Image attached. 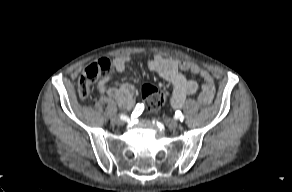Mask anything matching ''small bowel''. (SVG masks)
<instances>
[{
    "instance_id": "small-bowel-1",
    "label": "small bowel",
    "mask_w": 292,
    "mask_h": 192,
    "mask_svg": "<svg viewBox=\"0 0 292 192\" xmlns=\"http://www.w3.org/2000/svg\"><path fill=\"white\" fill-rule=\"evenodd\" d=\"M130 60L131 58L128 56L115 58L113 61V70L119 73L124 72ZM146 65L150 71L156 72L161 78L171 84L172 91L170 101L174 107H181L186 98L194 94L199 88L196 81L186 77V72L198 75L203 81L201 93L199 95L200 101L203 103H209L213 99V78L207 70L201 68L197 64L155 55L152 59L147 61ZM110 79L111 74L103 77L98 83V91L113 98L121 109H131L135 104L134 86L128 83L119 82L109 85Z\"/></svg>"
}]
</instances>
